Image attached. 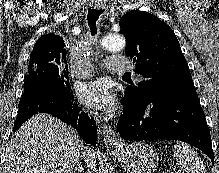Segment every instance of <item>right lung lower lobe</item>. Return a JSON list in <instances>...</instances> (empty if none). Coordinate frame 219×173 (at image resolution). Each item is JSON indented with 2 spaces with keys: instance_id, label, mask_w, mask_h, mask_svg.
Returning <instances> with one entry per match:
<instances>
[{
  "instance_id": "right-lung-lower-lobe-1",
  "label": "right lung lower lobe",
  "mask_w": 219,
  "mask_h": 173,
  "mask_svg": "<svg viewBox=\"0 0 219 173\" xmlns=\"http://www.w3.org/2000/svg\"><path fill=\"white\" fill-rule=\"evenodd\" d=\"M74 102L73 94H64L61 88L50 81H39L24 91L19 102L18 115L14 123V132L36 113H49L61 121L77 128L81 138L96 145L97 129L93 118H89Z\"/></svg>"
}]
</instances>
